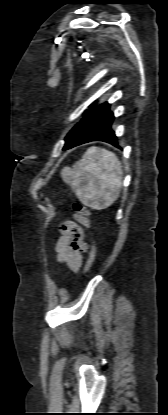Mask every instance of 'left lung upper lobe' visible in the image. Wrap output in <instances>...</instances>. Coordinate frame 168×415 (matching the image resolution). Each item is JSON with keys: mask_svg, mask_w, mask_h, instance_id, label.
I'll list each match as a JSON object with an SVG mask.
<instances>
[{"mask_svg": "<svg viewBox=\"0 0 168 415\" xmlns=\"http://www.w3.org/2000/svg\"><path fill=\"white\" fill-rule=\"evenodd\" d=\"M109 104L103 103L97 107L92 105L89 113L83 117V119L77 123L74 128L68 133L65 138V145L63 150H67L75 143L78 137L88 128L92 121L101 113Z\"/></svg>", "mask_w": 168, "mask_h": 415, "instance_id": "left-lung-upper-lobe-1", "label": "left lung upper lobe"}]
</instances>
